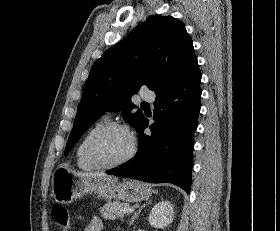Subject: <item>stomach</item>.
<instances>
[{
	"instance_id": "1",
	"label": "stomach",
	"mask_w": 280,
	"mask_h": 231,
	"mask_svg": "<svg viewBox=\"0 0 280 231\" xmlns=\"http://www.w3.org/2000/svg\"><path fill=\"white\" fill-rule=\"evenodd\" d=\"M52 195L58 203H71L87 193H96L104 199L117 201H143L152 195V189L140 181H98L91 177L76 175L72 169L60 165L52 175Z\"/></svg>"
}]
</instances>
